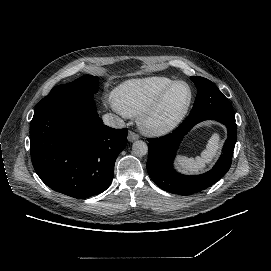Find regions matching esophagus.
<instances>
[{
  "instance_id": "34e87169",
  "label": "esophagus",
  "mask_w": 271,
  "mask_h": 271,
  "mask_svg": "<svg viewBox=\"0 0 271 271\" xmlns=\"http://www.w3.org/2000/svg\"><path fill=\"white\" fill-rule=\"evenodd\" d=\"M137 139H139V135L136 134V133H134V132H132V131H129V133H128V141L134 142Z\"/></svg>"
}]
</instances>
